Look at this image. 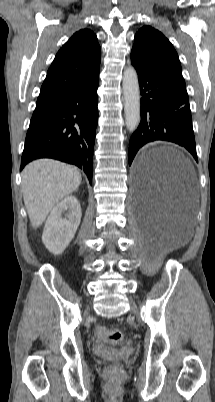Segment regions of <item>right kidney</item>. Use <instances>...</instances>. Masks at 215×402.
I'll list each match as a JSON object with an SVG mask.
<instances>
[{
    "instance_id": "ca27d5eb",
    "label": "right kidney",
    "mask_w": 215,
    "mask_h": 402,
    "mask_svg": "<svg viewBox=\"0 0 215 402\" xmlns=\"http://www.w3.org/2000/svg\"><path fill=\"white\" fill-rule=\"evenodd\" d=\"M81 206L75 196H67L51 211L42 234L45 247L61 254L74 238L81 221Z\"/></svg>"
}]
</instances>
